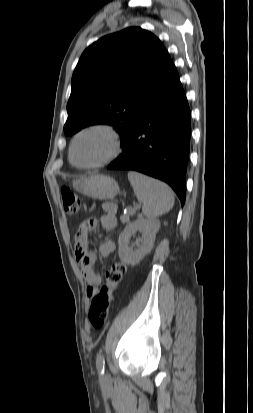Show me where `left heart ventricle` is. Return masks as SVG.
Wrapping results in <instances>:
<instances>
[{"instance_id":"b2bd125f","label":"left heart ventricle","mask_w":253,"mask_h":413,"mask_svg":"<svg viewBox=\"0 0 253 413\" xmlns=\"http://www.w3.org/2000/svg\"><path fill=\"white\" fill-rule=\"evenodd\" d=\"M110 149L109 138L101 132H89L76 142L74 158L80 164H91L104 157Z\"/></svg>"}]
</instances>
